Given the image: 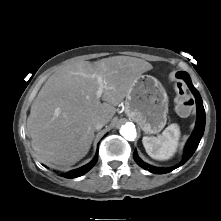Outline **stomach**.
<instances>
[{
	"label": "stomach",
	"instance_id": "1",
	"mask_svg": "<svg viewBox=\"0 0 221 221\" xmlns=\"http://www.w3.org/2000/svg\"><path fill=\"white\" fill-rule=\"evenodd\" d=\"M125 113L146 134L160 132L168 113V96L162 84L151 75L139 76L126 96Z\"/></svg>",
	"mask_w": 221,
	"mask_h": 221
}]
</instances>
